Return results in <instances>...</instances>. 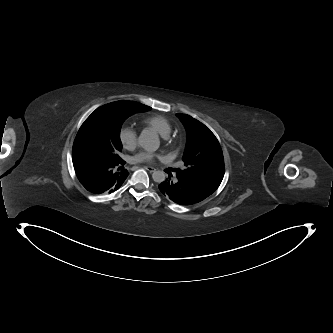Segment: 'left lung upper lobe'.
<instances>
[{"label":"left lung upper lobe","instance_id":"obj_1","mask_svg":"<svg viewBox=\"0 0 333 333\" xmlns=\"http://www.w3.org/2000/svg\"><path fill=\"white\" fill-rule=\"evenodd\" d=\"M187 131L182 160L185 168L177 176L210 196L224 177V158L215 135L204 124L186 114H177Z\"/></svg>","mask_w":333,"mask_h":333}]
</instances>
